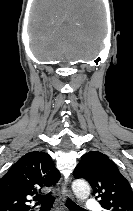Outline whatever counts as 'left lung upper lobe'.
I'll list each match as a JSON object with an SVG mask.
<instances>
[{
    "mask_svg": "<svg viewBox=\"0 0 133 211\" xmlns=\"http://www.w3.org/2000/svg\"><path fill=\"white\" fill-rule=\"evenodd\" d=\"M86 179L105 211H133V192L116 164L103 153H86L74 170Z\"/></svg>",
    "mask_w": 133,
    "mask_h": 211,
    "instance_id": "1",
    "label": "left lung upper lobe"
}]
</instances>
